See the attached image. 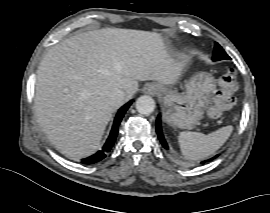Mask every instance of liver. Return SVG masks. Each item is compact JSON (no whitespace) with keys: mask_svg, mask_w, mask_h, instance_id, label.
I'll return each mask as SVG.
<instances>
[{"mask_svg":"<svg viewBox=\"0 0 270 213\" xmlns=\"http://www.w3.org/2000/svg\"><path fill=\"white\" fill-rule=\"evenodd\" d=\"M183 62L155 32L105 28L53 46L37 71L34 108L48 140L63 154L95 153L115 112L138 90V81L175 84ZM125 92L115 102L110 92Z\"/></svg>","mask_w":270,"mask_h":213,"instance_id":"6515ba94","label":"liver"}]
</instances>
